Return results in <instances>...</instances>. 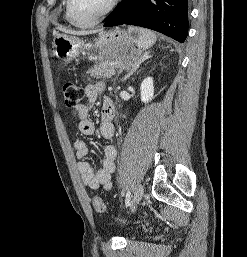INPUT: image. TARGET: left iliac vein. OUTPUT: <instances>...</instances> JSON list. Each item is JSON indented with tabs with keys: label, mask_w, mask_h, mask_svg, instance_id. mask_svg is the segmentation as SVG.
Returning a JSON list of instances; mask_svg holds the SVG:
<instances>
[{
	"label": "left iliac vein",
	"mask_w": 247,
	"mask_h": 257,
	"mask_svg": "<svg viewBox=\"0 0 247 257\" xmlns=\"http://www.w3.org/2000/svg\"><path fill=\"white\" fill-rule=\"evenodd\" d=\"M144 195V189L142 185H138L136 187L135 193H134V197L133 200L131 202V206H130V211L133 212L136 208V206L139 204V202L141 201L142 197Z\"/></svg>",
	"instance_id": "left-iliac-vein-1"
}]
</instances>
